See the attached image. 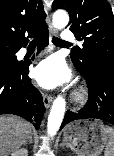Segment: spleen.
I'll list each match as a JSON object with an SVG mask.
<instances>
[{
  "mask_svg": "<svg viewBox=\"0 0 114 156\" xmlns=\"http://www.w3.org/2000/svg\"><path fill=\"white\" fill-rule=\"evenodd\" d=\"M110 136V142L105 148L104 155L105 156H114V129L111 127H106Z\"/></svg>",
  "mask_w": 114,
  "mask_h": 156,
  "instance_id": "1",
  "label": "spleen"
}]
</instances>
